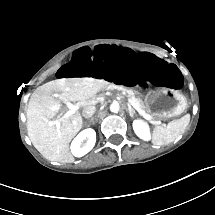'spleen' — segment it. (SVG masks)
Listing matches in <instances>:
<instances>
[{"label": "spleen", "mask_w": 215, "mask_h": 215, "mask_svg": "<svg viewBox=\"0 0 215 215\" xmlns=\"http://www.w3.org/2000/svg\"><path fill=\"white\" fill-rule=\"evenodd\" d=\"M189 119V114H186L180 119L169 122L166 126H157L153 131V144L163 145L173 142L180 135L185 122Z\"/></svg>", "instance_id": "spleen-1"}]
</instances>
